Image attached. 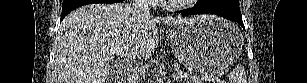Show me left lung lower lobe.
Here are the masks:
<instances>
[{"label": "left lung lower lobe", "mask_w": 307, "mask_h": 83, "mask_svg": "<svg viewBox=\"0 0 307 83\" xmlns=\"http://www.w3.org/2000/svg\"><path fill=\"white\" fill-rule=\"evenodd\" d=\"M178 13H181L183 16L216 14L230 21H236L244 28L239 6L231 2L215 3L214 0H198L194 7L178 11Z\"/></svg>", "instance_id": "1"}]
</instances>
